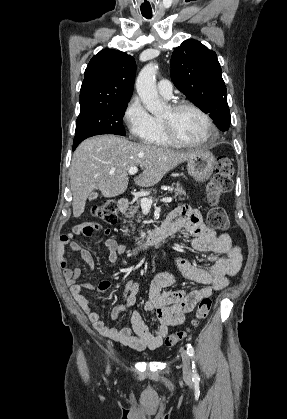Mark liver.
I'll return each mask as SVG.
<instances>
[{
  "mask_svg": "<svg viewBox=\"0 0 287 419\" xmlns=\"http://www.w3.org/2000/svg\"><path fill=\"white\" fill-rule=\"evenodd\" d=\"M198 152L138 144L116 135H99L84 140L75 150L69 169L74 217L81 216L87 198L95 189L107 198L123 194L128 186L130 167L143 169L134 179L135 184L150 187Z\"/></svg>",
  "mask_w": 287,
  "mask_h": 419,
  "instance_id": "liver-1",
  "label": "liver"
}]
</instances>
